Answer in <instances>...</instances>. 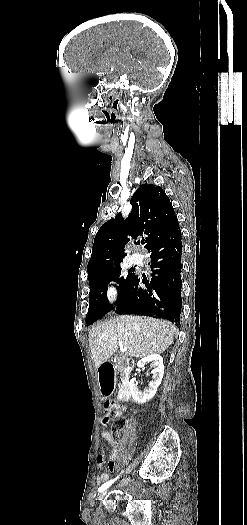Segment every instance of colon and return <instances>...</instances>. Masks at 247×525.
I'll return each mask as SVG.
<instances>
[{
  "instance_id": "obj_1",
  "label": "colon",
  "mask_w": 247,
  "mask_h": 525,
  "mask_svg": "<svg viewBox=\"0 0 247 525\" xmlns=\"http://www.w3.org/2000/svg\"><path fill=\"white\" fill-rule=\"evenodd\" d=\"M103 426H111L113 432H119L125 427V419L122 417V408L118 402H110L105 406Z\"/></svg>"
}]
</instances>
